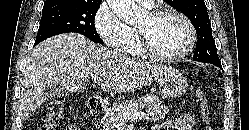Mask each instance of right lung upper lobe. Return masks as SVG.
Returning <instances> with one entry per match:
<instances>
[{
    "instance_id": "cb5924a9",
    "label": "right lung upper lobe",
    "mask_w": 249,
    "mask_h": 130,
    "mask_svg": "<svg viewBox=\"0 0 249 130\" xmlns=\"http://www.w3.org/2000/svg\"><path fill=\"white\" fill-rule=\"evenodd\" d=\"M57 1H62V0H46V2L44 3L45 4H50V3H53V2H57ZM67 1H76V2H86V3H101L102 0H67Z\"/></svg>"
}]
</instances>
